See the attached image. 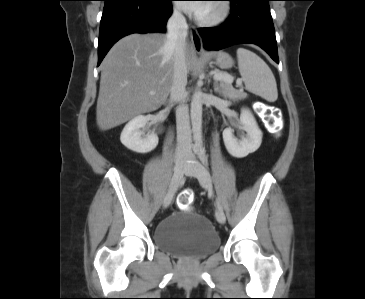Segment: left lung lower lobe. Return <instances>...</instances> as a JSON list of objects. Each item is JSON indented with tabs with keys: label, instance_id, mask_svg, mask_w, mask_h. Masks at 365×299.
Masks as SVG:
<instances>
[{
	"label": "left lung lower lobe",
	"instance_id": "0a47b994",
	"mask_svg": "<svg viewBox=\"0 0 365 299\" xmlns=\"http://www.w3.org/2000/svg\"><path fill=\"white\" fill-rule=\"evenodd\" d=\"M230 16L220 27L200 28L203 45L219 50L234 44L253 43L279 63L274 25L270 13L271 0H227Z\"/></svg>",
	"mask_w": 365,
	"mask_h": 299
}]
</instances>
